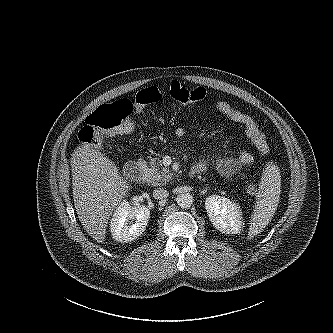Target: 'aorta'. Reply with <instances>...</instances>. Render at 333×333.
Here are the masks:
<instances>
[{
  "instance_id": "obj_1",
  "label": "aorta",
  "mask_w": 333,
  "mask_h": 333,
  "mask_svg": "<svg viewBox=\"0 0 333 333\" xmlns=\"http://www.w3.org/2000/svg\"><path fill=\"white\" fill-rule=\"evenodd\" d=\"M177 204L182 209H188L193 204V197L189 193H182L177 197Z\"/></svg>"
}]
</instances>
